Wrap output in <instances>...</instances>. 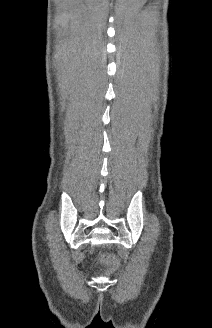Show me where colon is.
<instances>
[{
    "label": "colon",
    "instance_id": "obj_1",
    "mask_svg": "<svg viewBox=\"0 0 212 328\" xmlns=\"http://www.w3.org/2000/svg\"><path fill=\"white\" fill-rule=\"evenodd\" d=\"M101 260L108 264L113 271L117 270L120 267V261L118 258L111 255H102Z\"/></svg>",
    "mask_w": 212,
    "mask_h": 328
}]
</instances>
